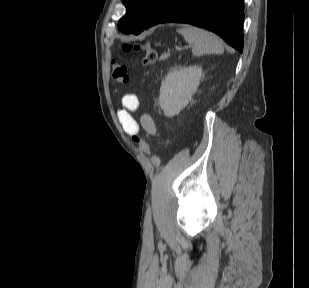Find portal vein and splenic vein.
<instances>
[{"instance_id": "18ae733b", "label": "portal vein and splenic vein", "mask_w": 309, "mask_h": 288, "mask_svg": "<svg viewBox=\"0 0 309 288\" xmlns=\"http://www.w3.org/2000/svg\"><path fill=\"white\" fill-rule=\"evenodd\" d=\"M176 50L180 51V50H182V48L181 47H176Z\"/></svg>"}]
</instances>
